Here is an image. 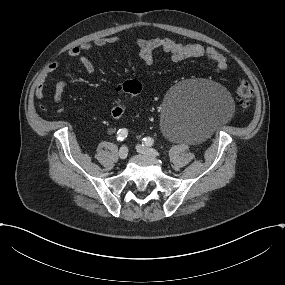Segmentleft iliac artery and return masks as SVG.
I'll list each match as a JSON object with an SVG mask.
<instances>
[{
	"instance_id": "44dca946",
	"label": "left iliac artery",
	"mask_w": 285,
	"mask_h": 285,
	"mask_svg": "<svg viewBox=\"0 0 285 285\" xmlns=\"http://www.w3.org/2000/svg\"><path fill=\"white\" fill-rule=\"evenodd\" d=\"M143 140L145 146H152L154 144V140L151 137L144 138Z\"/></svg>"
}]
</instances>
